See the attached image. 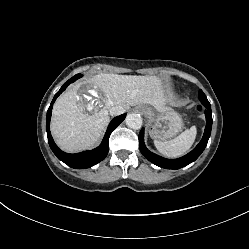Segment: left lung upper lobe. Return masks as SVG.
I'll return each mask as SVG.
<instances>
[{"label":"left lung upper lobe","instance_id":"5c2ea615","mask_svg":"<svg viewBox=\"0 0 249 249\" xmlns=\"http://www.w3.org/2000/svg\"><path fill=\"white\" fill-rule=\"evenodd\" d=\"M203 95H205V94L203 93L202 90H200V91H199V98H200L201 96H203Z\"/></svg>","mask_w":249,"mask_h":249}]
</instances>
